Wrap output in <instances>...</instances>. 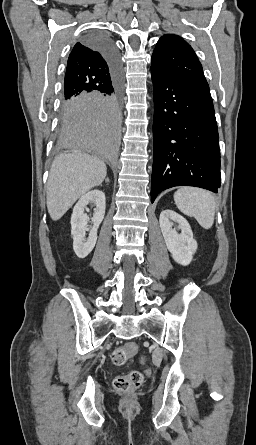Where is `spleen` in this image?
<instances>
[{
  "instance_id": "3e777b00",
  "label": "spleen",
  "mask_w": 256,
  "mask_h": 445,
  "mask_svg": "<svg viewBox=\"0 0 256 445\" xmlns=\"http://www.w3.org/2000/svg\"><path fill=\"white\" fill-rule=\"evenodd\" d=\"M174 201L182 213L194 217L203 228L212 227L215 199L210 192L199 188L182 187L174 193Z\"/></svg>"
}]
</instances>
